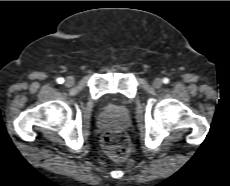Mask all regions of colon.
Segmentation results:
<instances>
[{"label": "colon", "mask_w": 230, "mask_h": 186, "mask_svg": "<svg viewBox=\"0 0 230 186\" xmlns=\"http://www.w3.org/2000/svg\"><path fill=\"white\" fill-rule=\"evenodd\" d=\"M106 154L114 161H124L130 153V143L121 131H109L102 138Z\"/></svg>", "instance_id": "5ec220e1"}]
</instances>
